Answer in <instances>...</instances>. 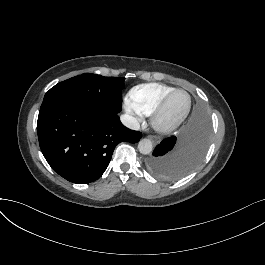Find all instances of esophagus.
<instances>
[{"mask_svg":"<svg viewBox=\"0 0 265 265\" xmlns=\"http://www.w3.org/2000/svg\"><path fill=\"white\" fill-rule=\"evenodd\" d=\"M151 139L153 140L154 144H158L161 140L159 137H151Z\"/></svg>","mask_w":265,"mask_h":265,"instance_id":"1","label":"esophagus"}]
</instances>
